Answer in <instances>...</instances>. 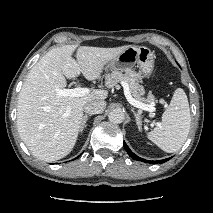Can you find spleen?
Instances as JSON below:
<instances>
[{"label": "spleen", "instance_id": "spleen-1", "mask_svg": "<svg viewBox=\"0 0 213 213\" xmlns=\"http://www.w3.org/2000/svg\"><path fill=\"white\" fill-rule=\"evenodd\" d=\"M190 124L188 98L184 90L178 88L162 115L161 123L150 131L147 137L163 151L173 153L185 143Z\"/></svg>", "mask_w": 213, "mask_h": 213}]
</instances>
